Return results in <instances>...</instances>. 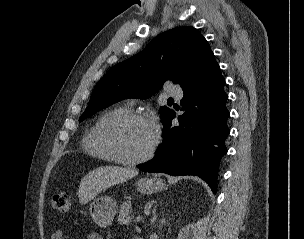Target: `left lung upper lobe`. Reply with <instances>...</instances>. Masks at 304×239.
I'll return each mask as SVG.
<instances>
[{
    "instance_id": "1",
    "label": "left lung upper lobe",
    "mask_w": 304,
    "mask_h": 239,
    "mask_svg": "<svg viewBox=\"0 0 304 239\" xmlns=\"http://www.w3.org/2000/svg\"><path fill=\"white\" fill-rule=\"evenodd\" d=\"M213 54L194 27H177L158 35L143 51L113 66L96 84L79 122L126 98H149L167 80L189 87ZM172 110L160 108L162 121Z\"/></svg>"
}]
</instances>
